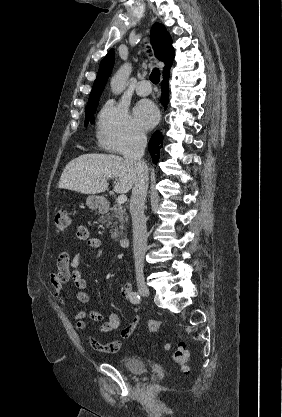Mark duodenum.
Listing matches in <instances>:
<instances>
[{
    "instance_id": "obj_1",
    "label": "duodenum",
    "mask_w": 282,
    "mask_h": 417,
    "mask_svg": "<svg viewBox=\"0 0 282 417\" xmlns=\"http://www.w3.org/2000/svg\"><path fill=\"white\" fill-rule=\"evenodd\" d=\"M106 209V207H104V210ZM129 241H130V237L129 236H123V237H121L120 238V245H121V247L123 248V249H125V248H127L128 247V244H129Z\"/></svg>"
}]
</instances>
